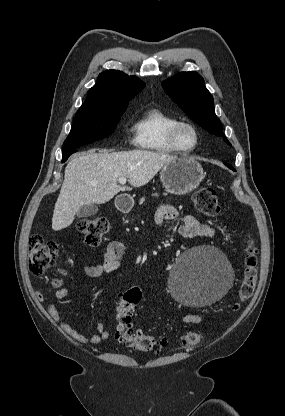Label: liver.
Returning a JSON list of instances; mask_svg holds the SVG:
<instances>
[{
	"label": "liver",
	"instance_id": "1",
	"mask_svg": "<svg viewBox=\"0 0 285 416\" xmlns=\"http://www.w3.org/2000/svg\"><path fill=\"white\" fill-rule=\"evenodd\" d=\"M88 150L71 160L65 168L62 184L52 218V230L68 228L80 208L90 204H106L127 186H118V178H128L130 186H146L163 166L178 156L167 152H105Z\"/></svg>",
	"mask_w": 285,
	"mask_h": 416
}]
</instances>
